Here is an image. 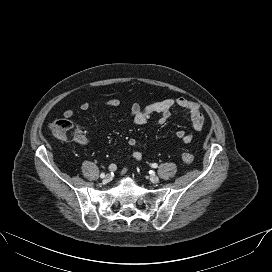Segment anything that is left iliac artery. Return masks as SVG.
<instances>
[{
	"label": "left iliac artery",
	"instance_id": "44dca946",
	"mask_svg": "<svg viewBox=\"0 0 272 272\" xmlns=\"http://www.w3.org/2000/svg\"><path fill=\"white\" fill-rule=\"evenodd\" d=\"M151 167H153V168H157V167H158V165H157L156 163H153V164H151Z\"/></svg>",
	"mask_w": 272,
	"mask_h": 272
}]
</instances>
